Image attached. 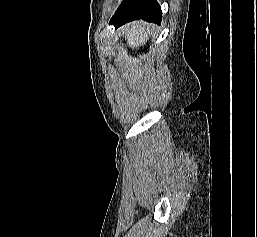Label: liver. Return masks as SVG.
<instances>
[{
	"instance_id": "1",
	"label": "liver",
	"mask_w": 257,
	"mask_h": 237,
	"mask_svg": "<svg viewBox=\"0 0 257 237\" xmlns=\"http://www.w3.org/2000/svg\"><path fill=\"white\" fill-rule=\"evenodd\" d=\"M122 34L130 47L137 48L140 45H145L149 39L150 29L149 26L143 21H136L121 28Z\"/></svg>"
}]
</instances>
